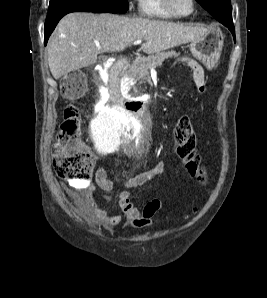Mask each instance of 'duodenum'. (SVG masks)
<instances>
[{
	"instance_id": "obj_1",
	"label": "duodenum",
	"mask_w": 267,
	"mask_h": 298,
	"mask_svg": "<svg viewBox=\"0 0 267 298\" xmlns=\"http://www.w3.org/2000/svg\"><path fill=\"white\" fill-rule=\"evenodd\" d=\"M129 66L128 59H121L117 67H112V75H109L107 89L115 93L112 109L121 112V115H154V104H145L140 93H125L126 84L122 79L129 75L126 69Z\"/></svg>"
}]
</instances>
